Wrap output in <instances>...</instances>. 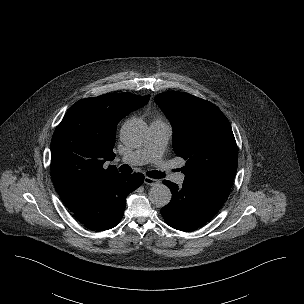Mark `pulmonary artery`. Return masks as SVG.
<instances>
[{
	"label": "pulmonary artery",
	"mask_w": 304,
	"mask_h": 304,
	"mask_svg": "<svg viewBox=\"0 0 304 304\" xmlns=\"http://www.w3.org/2000/svg\"><path fill=\"white\" fill-rule=\"evenodd\" d=\"M171 135L172 128L167 122L155 120L150 124V134L145 145L124 155L121 160L130 165L160 164ZM171 178L177 184H182L185 180V174L176 173Z\"/></svg>",
	"instance_id": "pulmonary-artery-1"
}]
</instances>
